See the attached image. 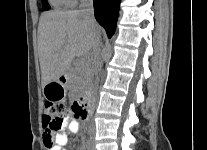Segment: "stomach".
I'll list each match as a JSON object with an SVG mask.
<instances>
[{"instance_id":"obj_1","label":"stomach","mask_w":207,"mask_h":150,"mask_svg":"<svg viewBox=\"0 0 207 150\" xmlns=\"http://www.w3.org/2000/svg\"><path fill=\"white\" fill-rule=\"evenodd\" d=\"M43 95L50 100H61L66 96V86L60 79L43 87Z\"/></svg>"}]
</instances>
